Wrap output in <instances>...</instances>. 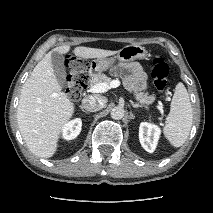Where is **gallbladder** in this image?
Here are the masks:
<instances>
[{
  "mask_svg": "<svg viewBox=\"0 0 213 213\" xmlns=\"http://www.w3.org/2000/svg\"><path fill=\"white\" fill-rule=\"evenodd\" d=\"M51 63L54 74L61 84L66 82V70L64 66V57L62 54L54 51L51 53Z\"/></svg>",
  "mask_w": 213,
  "mask_h": 213,
  "instance_id": "bac80fb5",
  "label": "gallbladder"
}]
</instances>
